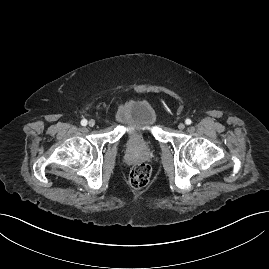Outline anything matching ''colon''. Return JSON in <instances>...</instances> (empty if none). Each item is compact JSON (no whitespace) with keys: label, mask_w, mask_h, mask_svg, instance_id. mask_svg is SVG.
I'll list each match as a JSON object with an SVG mask.
<instances>
[{"label":"colon","mask_w":269,"mask_h":269,"mask_svg":"<svg viewBox=\"0 0 269 269\" xmlns=\"http://www.w3.org/2000/svg\"><path fill=\"white\" fill-rule=\"evenodd\" d=\"M151 174V167L148 164H137L130 171L129 182L134 188H143L148 185Z\"/></svg>","instance_id":"colon-1"}]
</instances>
